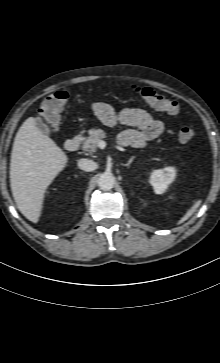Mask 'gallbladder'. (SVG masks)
I'll return each mask as SVG.
<instances>
[{
    "label": "gallbladder",
    "mask_w": 220,
    "mask_h": 363,
    "mask_svg": "<svg viewBox=\"0 0 220 363\" xmlns=\"http://www.w3.org/2000/svg\"><path fill=\"white\" fill-rule=\"evenodd\" d=\"M36 125L38 126V128L43 132V133H46V134H49L51 133V129L50 127L44 123L43 119L41 117H37L36 118Z\"/></svg>",
    "instance_id": "bac80fb5"
}]
</instances>
